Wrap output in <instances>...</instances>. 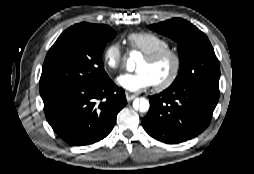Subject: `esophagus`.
<instances>
[{"label":"esophagus","mask_w":254,"mask_h":174,"mask_svg":"<svg viewBox=\"0 0 254 174\" xmlns=\"http://www.w3.org/2000/svg\"><path fill=\"white\" fill-rule=\"evenodd\" d=\"M137 97L136 94H132V93H126V99L127 101H132L133 99H135Z\"/></svg>","instance_id":"1"}]
</instances>
